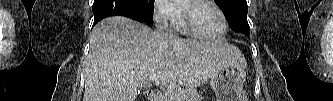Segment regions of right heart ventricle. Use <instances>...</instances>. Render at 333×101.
Wrapping results in <instances>:
<instances>
[{"label":"right heart ventricle","mask_w":333,"mask_h":101,"mask_svg":"<svg viewBox=\"0 0 333 101\" xmlns=\"http://www.w3.org/2000/svg\"><path fill=\"white\" fill-rule=\"evenodd\" d=\"M174 25L177 31L186 34L187 31L183 24L182 14H181V2H178L176 6V16L174 18Z\"/></svg>","instance_id":"obj_1"}]
</instances>
